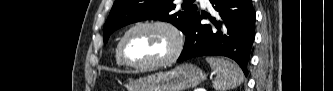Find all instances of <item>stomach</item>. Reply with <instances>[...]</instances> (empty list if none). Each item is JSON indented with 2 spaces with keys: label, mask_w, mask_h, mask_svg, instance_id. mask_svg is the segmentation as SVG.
Here are the masks:
<instances>
[{
  "label": "stomach",
  "mask_w": 333,
  "mask_h": 91,
  "mask_svg": "<svg viewBox=\"0 0 333 91\" xmlns=\"http://www.w3.org/2000/svg\"><path fill=\"white\" fill-rule=\"evenodd\" d=\"M205 78V73L198 66L186 63L170 71L132 80L127 88L129 91H185L196 87Z\"/></svg>",
  "instance_id": "1"
}]
</instances>
